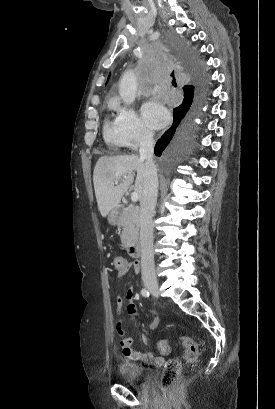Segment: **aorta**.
<instances>
[{
    "label": "aorta",
    "mask_w": 275,
    "mask_h": 409,
    "mask_svg": "<svg viewBox=\"0 0 275 409\" xmlns=\"http://www.w3.org/2000/svg\"><path fill=\"white\" fill-rule=\"evenodd\" d=\"M136 90L137 78L134 72H132V70L124 72L119 84V94L125 104H132V102H134Z\"/></svg>",
    "instance_id": "obj_1"
}]
</instances>
